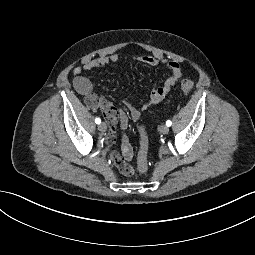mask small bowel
I'll return each mask as SVG.
<instances>
[{
    "mask_svg": "<svg viewBox=\"0 0 255 255\" xmlns=\"http://www.w3.org/2000/svg\"><path fill=\"white\" fill-rule=\"evenodd\" d=\"M135 59L151 66L163 65L169 71L168 76L162 84L152 91L149 99L139 108L128 101L126 102L130 116L134 120H138L144 110L160 103L167 96L171 88L181 79L183 71L178 62L163 56L144 54L136 56ZM118 61L119 55L117 53L100 55L96 58L84 61L82 66H76L73 68V85L78 93L84 96V101L90 108L100 109L103 112L110 126L108 144L111 148V159L121 173L130 176L134 173V168L130 165L133 158V149L128 136L125 133L128 127V113L122 108H115L112 103L104 97L96 95L93 92V85L91 81L82 75L83 69L92 70L102 68L110 63H116ZM117 125H119L121 130L124 132L122 137L121 153L113 150Z\"/></svg>",
    "mask_w": 255,
    "mask_h": 255,
    "instance_id": "c3829d8e",
    "label": "small bowel"
}]
</instances>
